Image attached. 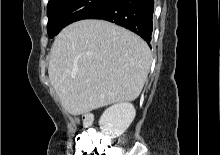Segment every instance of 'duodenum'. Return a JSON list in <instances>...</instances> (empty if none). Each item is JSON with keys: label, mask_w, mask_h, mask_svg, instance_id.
Masks as SVG:
<instances>
[{"label": "duodenum", "mask_w": 220, "mask_h": 155, "mask_svg": "<svg viewBox=\"0 0 220 155\" xmlns=\"http://www.w3.org/2000/svg\"><path fill=\"white\" fill-rule=\"evenodd\" d=\"M89 122H90V118H87L86 123H89Z\"/></svg>", "instance_id": "410a0bca"}]
</instances>
